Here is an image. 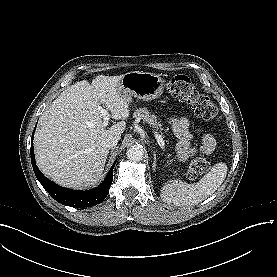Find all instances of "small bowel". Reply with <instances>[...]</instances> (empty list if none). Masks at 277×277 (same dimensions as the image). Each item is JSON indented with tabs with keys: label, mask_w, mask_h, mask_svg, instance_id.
<instances>
[{
	"label": "small bowel",
	"mask_w": 277,
	"mask_h": 277,
	"mask_svg": "<svg viewBox=\"0 0 277 277\" xmlns=\"http://www.w3.org/2000/svg\"><path fill=\"white\" fill-rule=\"evenodd\" d=\"M167 122L171 125L172 130L178 139L175 159H189L194 157L198 152L204 155H209L215 150L216 140L210 133L203 136L200 144L192 145L191 123L187 119L178 116H171L167 119Z\"/></svg>",
	"instance_id": "c3829d8e"
}]
</instances>
